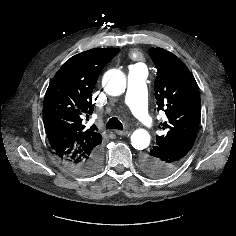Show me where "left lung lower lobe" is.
I'll use <instances>...</instances> for the list:
<instances>
[{
	"label": "left lung lower lobe",
	"instance_id": "obj_1",
	"mask_svg": "<svg viewBox=\"0 0 236 236\" xmlns=\"http://www.w3.org/2000/svg\"><path fill=\"white\" fill-rule=\"evenodd\" d=\"M192 147L186 145L157 146L142 157V168L150 176L162 178L177 170Z\"/></svg>",
	"mask_w": 236,
	"mask_h": 236
}]
</instances>
